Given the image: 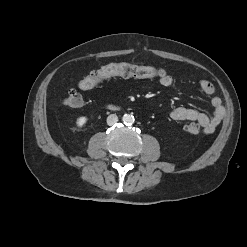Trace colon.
Wrapping results in <instances>:
<instances>
[{"mask_svg": "<svg viewBox=\"0 0 247 247\" xmlns=\"http://www.w3.org/2000/svg\"><path fill=\"white\" fill-rule=\"evenodd\" d=\"M165 75L164 70L157 69L151 66H139L129 63H112L104 65L99 69L91 72L78 83L80 90H90L101 83L113 79L115 77L123 78H162ZM63 104L69 108H78L83 104V97L75 89H71L63 100ZM187 131L190 134H198L200 126L196 123H191L187 126Z\"/></svg>", "mask_w": 247, "mask_h": 247, "instance_id": "colon-1", "label": "colon"}]
</instances>
